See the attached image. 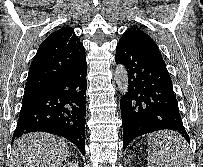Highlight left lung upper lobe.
<instances>
[{"mask_svg":"<svg viewBox=\"0 0 203 167\" xmlns=\"http://www.w3.org/2000/svg\"><path fill=\"white\" fill-rule=\"evenodd\" d=\"M120 40L131 44L132 46L143 52L163 59L157 44L139 28H128V30L123 34Z\"/></svg>","mask_w":203,"mask_h":167,"instance_id":"obj_1","label":"left lung upper lobe"}]
</instances>
